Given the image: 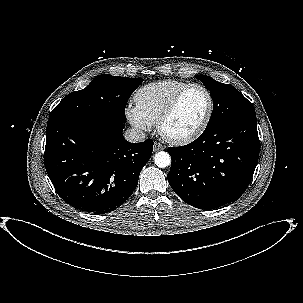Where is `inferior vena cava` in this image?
<instances>
[{
	"label": "inferior vena cava",
	"mask_w": 303,
	"mask_h": 303,
	"mask_svg": "<svg viewBox=\"0 0 303 303\" xmlns=\"http://www.w3.org/2000/svg\"><path fill=\"white\" fill-rule=\"evenodd\" d=\"M124 137L131 143L143 142L146 138L145 133L137 128L127 129L124 133Z\"/></svg>",
	"instance_id": "1"
}]
</instances>
